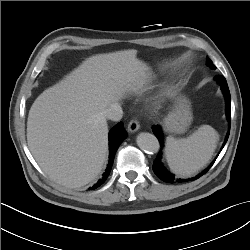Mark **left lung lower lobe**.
Masks as SVG:
<instances>
[{"label": "left lung lower lobe", "instance_id": "0a47b994", "mask_svg": "<svg viewBox=\"0 0 250 250\" xmlns=\"http://www.w3.org/2000/svg\"><path fill=\"white\" fill-rule=\"evenodd\" d=\"M215 79L216 81L219 83L222 91H223V94L225 96V100H226V116H227V119H228V122L230 123L231 121V98H230V92H229V88H228V85H227V82L225 80V78L223 76H215ZM152 130H153V133L155 134V136L158 138L160 144H161V147H163V135H162V131H161V128L160 126H153L152 127ZM229 132L227 133L226 135V138H225V141L222 145V149L224 147V145L226 144L227 140H228V137H229ZM214 163V162H213ZM213 163L208 167L206 168L203 172H201L199 175H197L196 177L190 179V180H195L199 177H201L203 174H205L209 169L210 167L213 165ZM153 171L154 173L156 174L157 177H159L161 180L165 181V182H168V183H174V182H186V181H189V179L187 180H183V179H176L175 176L171 173H169L163 166L162 162H161V151L158 153L154 163H153Z\"/></svg>", "mask_w": 250, "mask_h": 250}]
</instances>
